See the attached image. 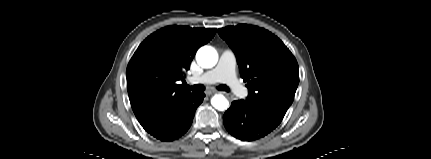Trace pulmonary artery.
<instances>
[{
	"label": "pulmonary artery",
	"instance_id": "obj_1",
	"mask_svg": "<svg viewBox=\"0 0 431 159\" xmlns=\"http://www.w3.org/2000/svg\"><path fill=\"white\" fill-rule=\"evenodd\" d=\"M236 56L233 51L224 50L217 65L200 76L190 78L191 83H217L226 84L238 97L247 96V89L239 82L236 76Z\"/></svg>",
	"mask_w": 431,
	"mask_h": 159
}]
</instances>
